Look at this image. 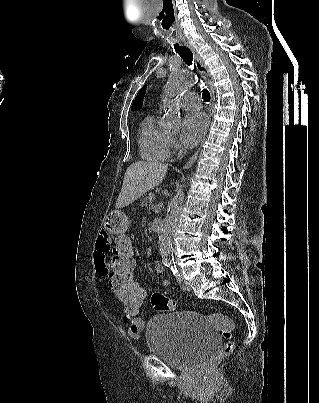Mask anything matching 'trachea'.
<instances>
[{"instance_id":"3493384b","label":"trachea","mask_w":319,"mask_h":403,"mask_svg":"<svg viewBox=\"0 0 319 403\" xmlns=\"http://www.w3.org/2000/svg\"><path fill=\"white\" fill-rule=\"evenodd\" d=\"M171 21L168 22H164L162 24L163 29L166 30L167 33L171 34ZM174 48L176 50V53H178L180 55V57L183 59V61L188 65H192V61H193V53L191 52V50L185 46H179V44H174ZM202 98L205 102H209L210 101V93L207 89H203L202 90Z\"/></svg>"}]
</instances>
